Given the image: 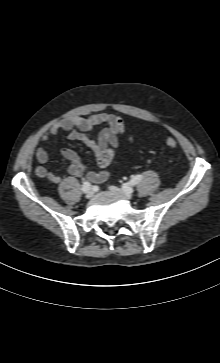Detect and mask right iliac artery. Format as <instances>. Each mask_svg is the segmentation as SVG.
<instances>
[{
  "mask_svg": "<svg viewBox=\"0 0 220 363\" xmlns=\"http://www.w3.org/2000/svg\"><path fill=\"white\" fill-rule=\"evenodd\" d=\"M90 188H91V184H90V182H88V181H84V182H83V185H82V191H83L84 193H87V192L90 190Z\"/></svg>",
  "mask_w": 220,
  "mask_h": 363,
  "instance_id": "obj_1",
  "label": "right iliac artery"
}]
</instances>
